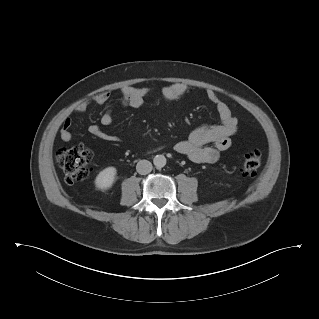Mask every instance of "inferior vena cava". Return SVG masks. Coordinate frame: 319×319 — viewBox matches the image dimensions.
I'll return each instance as SVG.
<instances>
[{"label":"inferior vena cava","mask_w":319,"mask_h":319,"mask_svg":"<svg viewBox=\"0 0 319 319\" xmlns=\"http://www.w3.org/2000/svg\"><path fill=\"white\" fill-rule=\"evenodd\" d=\"M152 163L148 160H140L136 165V170L141 175H146L152 171Z\"/></svg>","instance_id":"1"}]
</instances>
